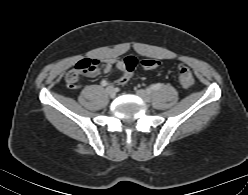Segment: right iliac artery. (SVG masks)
<instances>
[{
	"mask_svg": "<svg viewBox=\"0 0 248 195\" xmlns=\"http://www.w3.org/2000/svg\"><path fill=\"white\" fill-rule=\"evenodd\" d=\"M101 85H102V86H106V85H107V81L102 80V81H101Z\"/></svg>",
	"mask_w": 248,
	"mask_h": 195,
	"instance_id": "right-iliac-artery-1",
	"label": "right iliac artery"
}]
</instances>
